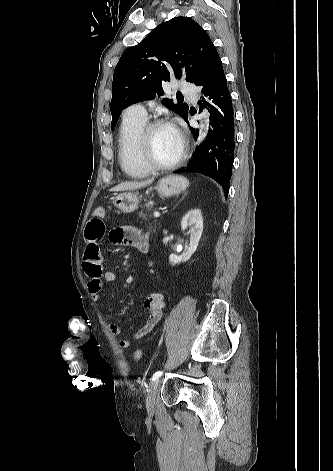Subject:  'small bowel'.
Wrapping results in <instances>:
<instances>
[{"instance_id": "1", "label": "small bowel", "mask_w": 333, "mask_h": 471, "mask_svg": "<svg viewBox=\"0 0 333 471\" xmlns=\"http://www.w3.org/2000/svg\"><path fill=\"white\" fill-rule=\"evenodd\" d=\"M104 217V216H103ZM103 217H92L88 220L85 228V251L83 255V270L89 278L88 289L95 302L102 300V289L104 282L112 283L116 280V273L113 271H103V258L99 243L107 235L109 241L115 245L131 246L141 250V246L146 240V235L139 229L132 226H120L111 229L108 233L103 222ZM148 315L147 318L132 338L123 337L119 341L122 348H128L132 340L141 339L148 335L162 318L163 310L166 306V296L156 292L150 294L144 303ZM109 330L114 335H121L122 329L116 323H109Z\"/></svg>"}]
</instances>
